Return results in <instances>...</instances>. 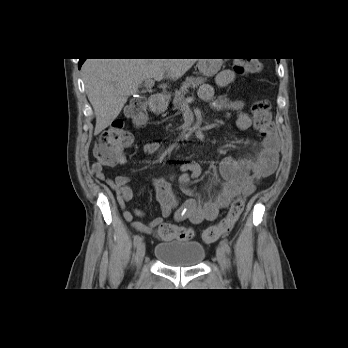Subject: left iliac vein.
I'll list each match as a JSON object with an SVG mask.
<instances>
[{
	"label": "left iliac vein",
	"mask_w": 348,
	"mask_h": 348,
	"mask_svg": "<svg viewBox=\"0 0 348 348\" xmlns=\"http://www.w3.org/2000/svg\"><path fill=\"white\" fill-rule=\"evenodd\" d=\"M216 256H217L218 263L220 264L222 270L224 271L226 268L227 259H226L225 252L221 246L217 247Z\"/></svg>",
	"instance_id": "obj_1"
}]
</instances>
